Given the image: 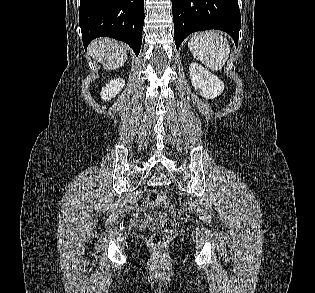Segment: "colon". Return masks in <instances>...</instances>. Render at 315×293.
<instances>
[{"instance_id": "obj_1", "label": "colon", "mask_w": 315, "mask_h": 293, "mask_svg": "<svg viewBox=\"0 0 315 293\" xmlns=\"http://www.w3.org/2000/svg\"><path fill=\"white\" fill-rule=\"evenodd\" d=\"M149 202L155 206H162L167 202V195L163 191H154L149 195ZM185 219L186 213L181 209H175L172 218L161 220L159 230L151 236V246L155 249H163L176 231L177 225Z\"/></svg>"}]
</instances>
